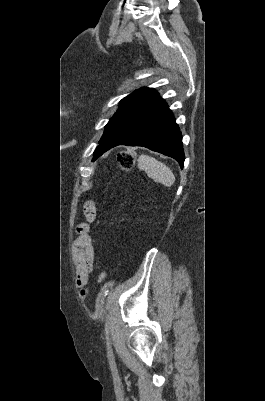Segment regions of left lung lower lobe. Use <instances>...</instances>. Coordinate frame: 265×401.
Wrapping results in <instances>:
<instances>
[{
    "label": "left lung lower lobe",
    "mask_w": 265,
    "mask_h": 401,
    "mask_svg": "<svg viewBox=\"0 0 265 401\" xmlns=\"http://www.w3.org/2000/svg\"><path fill=\"white\" fill-rule=\"evenodd\" d=\"M118 145L146 147L174 158L183 168L182 135L171 110L161 97L129 117L100 142L93 160Z\"/></svg>",
    "instance_id": "0a47b994"
}]
</instances>
